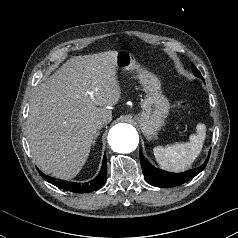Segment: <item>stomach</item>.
Masks as SVG:
<instances>
[{
	"mask_svg": "<svg viewBox=\"0 0 238 238\" xmlns=\"http://www.w3.org/2000/svg\"><path fill=\"white\" fill-rule=\"evenodd\" d=\"M117 68L123 71H138L139 81L147 95L141 104L142 111L135 116V120L147 139L155 138L170 109L168 99L161 92L160 80L153 73L137 65L135 57L128 51L118 52Z\"/></svg>",
	"mask_w": 238,
	"mask_h": 238,
	"instance_id": "stomach-1",
	"label": "stomach"
}]
</instances>
